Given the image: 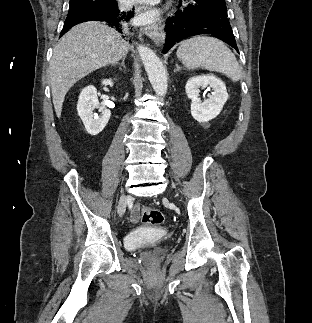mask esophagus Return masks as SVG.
<instances>
[{
  "label": "esophagus",
  "instance_id": "34e87169",
  "mask_svg": "<svg viewBox=\"0 0 312 323\" xmlns=\"http://www.w3.org/2000/svg\"><path fill=\"white\" fill-rule=\"evenodd\" d=\"M148 5H138L135 9L136 13L149 10ZM143 32L154 41L156 45H160L164 41V35L160 29V26L158 23L151 24L149 26H146L143 28Z\"/></svg>",
  "mask_w": 312,
  "mask_h": 323
}]
</instances>
